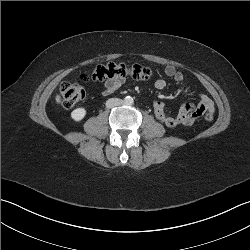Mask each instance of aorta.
I'll use <instances>...</instances> for the list:
<instances>
[{
    "mask_svg": "<svg viewBox=\"0 0 250 250\" xmlns=\"http://www.w3.org/2000/svg\"><path fill=\"white\" fill-rule=\"evenodd\" d=\"M134 102L133 98L131 96H126L124 98V104L127 105V106H130L132 105Z\"/></svg>",
    "mask_w": 250,
    "mask_h": 250,
    "instance_id": "1",
    "label": "aorta"
}]
</instances>
